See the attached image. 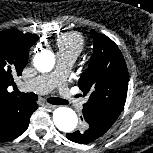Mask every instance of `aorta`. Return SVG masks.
<instances>
[{"label": "aorta", "instance_id": "1", "mask_svg": "<svg viewBox=\"0 0 153 153\" xmlns=\"http://www.w3.org/2000/svg\"><path fill=\"white\" fill-rule=\"evenodd\" d=\"M54 64V54L49 50L39 52L34 58V66L40 72L51 71ZM53 122L58 130L69 133L76 128L78 117L71 108L58 107L53 112Z\"/></svg>", "mask_w": 153, "mask_h": 153}]
</instances>
